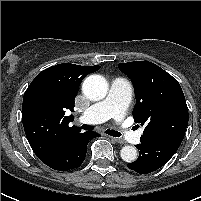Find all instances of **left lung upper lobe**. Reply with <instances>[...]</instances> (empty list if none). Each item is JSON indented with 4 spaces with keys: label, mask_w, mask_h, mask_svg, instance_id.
Wrapping results in <instances>:
<instances>
[{
    "label": "left lung upper lobe",
    "mask_w": 201,
    "mask_h": 201,
    "mask_svg": "<svg viewBox=\"0 0 201 201\" xmlns=\"http://www.w3.org/2000/svg\"><path fill=\"white\" fill-rule=\"evenodd\" d=\"M132 81L136 104L135 122L145 125L141 141L175 138L183 140L188 125V108L178 81L154 63H119Z\"/></svg>",
    "instance_id": "left-lung-upper-lobe-1"
}]
</instances>
